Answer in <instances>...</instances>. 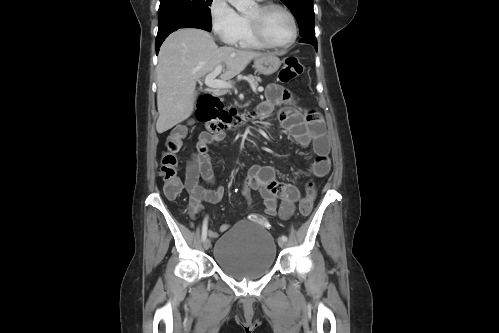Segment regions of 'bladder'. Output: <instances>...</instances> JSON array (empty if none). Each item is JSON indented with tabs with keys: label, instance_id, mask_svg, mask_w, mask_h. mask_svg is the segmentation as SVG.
<instances>
[{
	"label": "bladder",
	"instance_id": "bladder-1",
	"mask_svg": "<svg viewBox=\"0 0 499 333\" xmlns=\"http://www.w3.org/2000/svg\"><path fill=\"white\" fill-rule=\"evenodd\" d=\"M213 256L224 273L237 279H256L274 267L276 243L263 225L242 220L217 239Z\"/></svg>",
	"mask_w": 499,
	"mask_h": 333
}]
</instances>
